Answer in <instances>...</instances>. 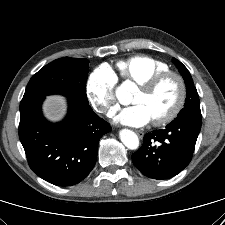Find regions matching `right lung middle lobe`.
<instances>
[{
    "instance_id": "dd1d6c3e",
    "label": "right lung middle lobe",
    "mask_w": 225,
    "mask_h": 225,
    "mask_svg": "<svg viewBox=\"0 0 225 225\" xmlns=\"http://www.w3.org/2000/svg\"><path fill=\"white\" fill-rule=\"evenodd\" d=\"M88 60L64 57L44 66L30 79L23 98L60 93L89 105L85 91Z\"/></svg>"
}]
</instances>
